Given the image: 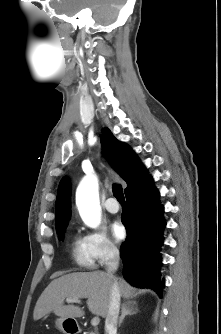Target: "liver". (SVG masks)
Wrapping results in <instances>:
<instances>
[{"label":"liver","mask_w":221,"mask_h":334,"mask_svg":"<svg viewBox=\"0 0 221 334\" xmlns=\"http://www.w3.org/2000/svg\"><path fill=\"white\" fill-rule=\"evenodd\" d=\"M118 283L124 299L134 295V289L124 279L109 276L102 271L75 272L54 279L39 297L34 313V320H39L50 312L62 318H78L84 312L80 307L64 305L67 298L87 299L89 311L105 318L108 313L112 284ZM130 303V302H129Z\"/></svg>","instance_id":"6515ba94"}]
</instances>
